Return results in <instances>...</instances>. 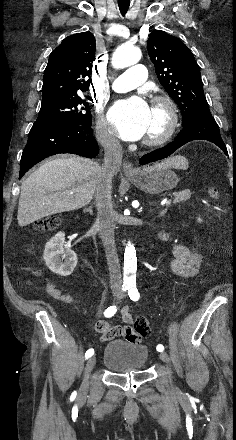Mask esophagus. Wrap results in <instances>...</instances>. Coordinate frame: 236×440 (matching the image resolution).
I'll use <instances>...</instances> for the list:
<instances>
[{
	"mask_svg": "<svg viewBox=\"0 0 236 440\" xmlns=\"http://www.w3.org/2000/svg\"><path fill=\"white\" fill-rule=\"evenodd\" d=\"M123 170L126 176H134L136 174V169L131 162H124Z\"/></svg>",
	"mask_w": 236,
	"mask_h": 440,
	"instance_id": "obj_1",
	"label": "esophagus"
}]
</instances>
